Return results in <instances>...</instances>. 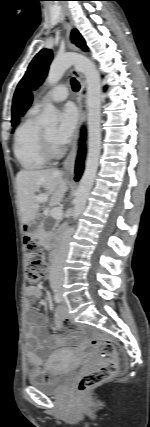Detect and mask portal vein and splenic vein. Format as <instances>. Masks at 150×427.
Segmentation results:
<instances>
[{
  "label": "portal vein and splenic vein",
  "mask_w": 150,
  "mask_h": 427,
  "mask_svg": "<svg viewBox=\"0 0 150 427\" xmlns=\"http://www.w3.org/2000/svg\"><path fill=\"white\" fill-rule=\"evenodd\" d=\"M36 201L38 203L41 202H46L48 200V195L47 194H39L38 196H36ZM50 216L54 219H59L62 216V209L59 207H55L50 211Z\"/></svg>",
  "instance_id": "18ae733b"
}]
</instances>
